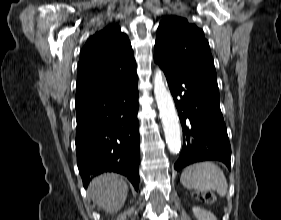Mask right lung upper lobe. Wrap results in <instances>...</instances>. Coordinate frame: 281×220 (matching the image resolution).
I'll return each instance as SVG.
<instances>
[{
    "label": "right lung upper lobe",
    "instance_id": "right-lung-upper-lobe-1",
    "mask_svg": "<svg viewBox=\"0 0 281 220\" xmlns=\"http://www.w3.org/2000/svg\"><path fill=\"white\" fill-rule=\"evenodd\" d=\"M138 79L133 50L118 25L91 36L81 50L75 105L126 88Z\"/></svg>",
    "mask_w": 281,
    "mask_h": 220
}]
</instances>
